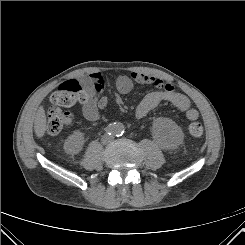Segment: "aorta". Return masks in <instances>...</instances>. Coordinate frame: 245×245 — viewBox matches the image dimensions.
Segmentation results:
<instances>
[{
    "label": "aorta",
    "mask_w": 245,
    "mask_h": 245,
    "mask_svg": "<svg viewBox=\"0 0 245 245\" xmlns=\"http://www.w3.org/2000/svg\"><path fill=\"white\" fill-rule=\"evenodd\" d=\"M111 131L115 135H121L124 132V125L122 123L112 124Z\"/></svg>",
    "instance_id": "1"
}]
</instances>
